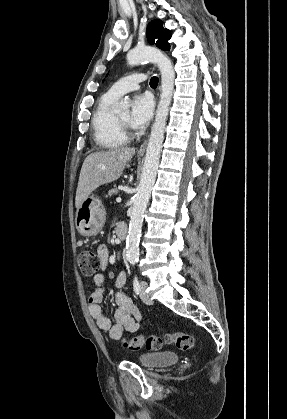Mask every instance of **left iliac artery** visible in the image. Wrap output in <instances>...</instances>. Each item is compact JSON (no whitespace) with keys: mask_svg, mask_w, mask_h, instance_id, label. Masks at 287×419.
Instances as JSON below:
<instances>
[{"mask_svg":"<svg viewBox=\"0 0 287 419\" xmlns=\"http://www.w3.org/2000/svg\"><path fill=\"white\" fill-rule=\"evenodd\" d=\"M133 289L136 294H139L140 291V284L137 276H134L133 279Z\"/></svg>","mask_w":287,"mask_h":419,"instance_id":"obj_1","label":"left iliac artery"}]
</instances>
